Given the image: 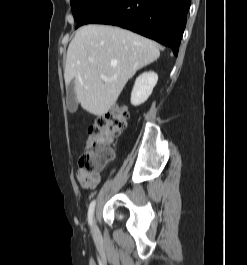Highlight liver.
Instances as JSON below:
<instances>
[{
	"label": "liver",
	"mask_w": 247,
	"mask_h": 265,
	"mask_svg": "<svg viewBox=\"0 0 247 265\" xmlns=\"http://www.w3.org/2000/svg\"><path fill=\"white\" fill-rule=\"evenodd\" d=\"M155 42L108 25L81 27L69 44L65 84L74 83L76 100L87 112L103 116L137 70L157 60ZM104 75L108 78L104 81Z\"/></svg>",
	"instance_id": "obj_1"
}]
</instances>
